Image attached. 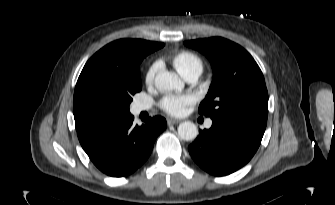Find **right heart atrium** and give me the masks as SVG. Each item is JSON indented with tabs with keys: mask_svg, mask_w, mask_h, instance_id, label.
<instances>
[{
	"mask_svg": "<svg viewBox=\"0 0 335 205\" xmlns=\"http://www.w3.org/2000/svg\"><path fill=\"white\" fill-rule=\"evenodd\" d=\"M159 69V64L157 62L153 63L147 70L146 75H145V82L148 85L153 84L156 74Z\"/></svg>",
	"mask_w": 335,
	"mask_h": 205,
	"instance_id": "obj_1",
	"label": "right heart atrium"
}]
</instances>
